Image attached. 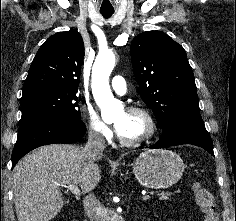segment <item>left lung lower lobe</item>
Segmentation results:
<instances>
[{
    "instance_id": "0a47b994",
    "label": "left lung lower lobe",
    "mask_w": 236,
    "mask_h": 221,
    "mask_svg": "<svg viewBox=\"0 0 236 221\" xmlns=\"http://www.w3.org/2000/svg\"><path fill=\"white\" fill-rule=\"evenodd\" d=\"M163 130L161 140L150 148L192 144L205 149L214 156L213 143L201 117L175 119Z\"/></svg>"
}]
</instances>
